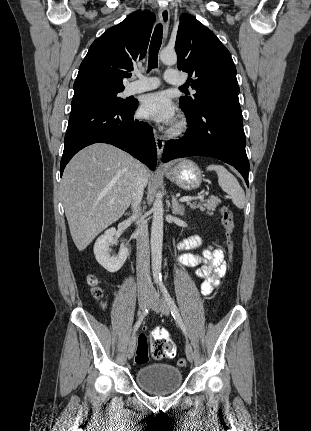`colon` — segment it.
Instances as JSON below:
<instances>
[{"instance_id": "obj_1", "label": "colon", "mask_w": 311, "mask_h": 431, "mask_svg": "<svg viewBox=\"0 0 311 431\" xmlns=\"http://www.w3.org/2000/svg\"><path fill=\"white\" fill-rule=\"evenodd\" d=\"M221 222L226 235V245L230 261L234 259L235 244L233 241L234 219L229 207L221 208ZM87 282L91 288V293L96 299H101L103 291L99 286V281L94 275H90ZM150 350L156 359L171 358L175 354V346L173 342L164 336H156L152 339ZM149 360V343L145 335H140L137 340V351L135 362L137 364H145ZM179 366H185V359L178 360Z\"/></svg>"}]
</instances>
